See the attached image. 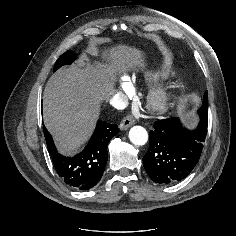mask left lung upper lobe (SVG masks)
Wrapping results in <instances>:
<instances>
[{
	"label": "left lung upper lobe",
	"mask_w": 236,
	"mask_h": 236,
	"mask_svg": "<svg viewBox=\"0 0 236 236\" xmlns=\"http://www.w3.org/2000/svg\"><path fill=\"white\" fill-rule=\"evenodd\" d=\"M198 114L200 116L208 114V93H207V91L204 94L203 104H202L200 110L198 111Z\"/></svg>",
	"instance_id": "obj_1"
}]
</instances>
